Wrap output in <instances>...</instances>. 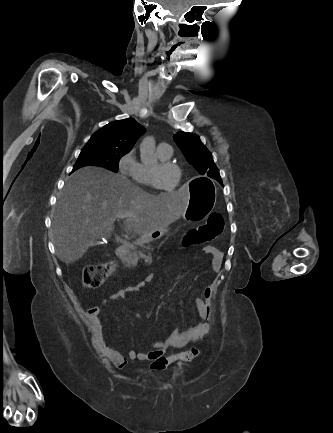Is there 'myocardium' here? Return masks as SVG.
<instances>
[{"instance_id": "myocardium-1", "label": "myocardium", "mask_w": 333, "mask_h": 433, "mask_svg": "<svg viewBox=\"0 0 333 433\" xmlns=\"http://www.w3.org/2000/svg\"><path fill=\"white\" fill-rule=\"evenodd\" d=\"M165 168H174L177 171L178 175H180V167L176 163L169 161V160L168 161H159L155 167H152L150 169L151 180H152L153 185L157 189L165 192L166 194H173L178 189V186H179L178 181H177L175 187L173 188V190H171V191L165 189L159 181V174Z\"/></svg>"}]
</instances>
